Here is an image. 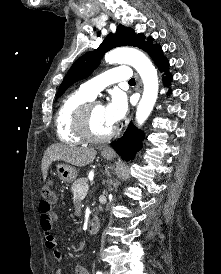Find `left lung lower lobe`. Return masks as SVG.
Returning <instances> with one entry per match:
<instances>
[{"label":"left lung lower lobe","instance_id":"0a47b994","mask_svg":"<svg viewBox=\"0 0 221 274\" xmlns=\"http://www.w3.org/2000/svg\"><path fill=\"white\" fill-rule=\"evenodd\" d=\"M150 56L158 66L161 72L166 73V77L163 78L164 85H167L171 82L172 76L168 72L169 62L162 55L161 47L156 48L150 53ZM142 132L139 131L133 124L131 123L122 138L118 139L114 144L113 148L116 152L122 156V159L129 161L132 157L139 151L142 147Z\"/></svg>","mask_w":221,"mask_h":274}]
</instances>
